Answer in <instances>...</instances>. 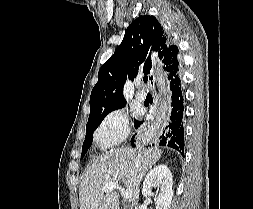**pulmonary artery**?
I'll return each mask as SVG.
<instances>
[{
	"instance_id": "e3ab8cb5",
	"label": "pulmonary artery",
	"mask_w": 253,
	"mask_h": 209,
	"mask_svg": "<svg viewBox=\"0 0 253 209\" xmlns=\"http://www.w3.org/2000/svg\"><path fill=\"white\" fill-rule=\"evenodd\" d=\"M136 99L138 101L143 102L146 99V94L143 91L139 90V91L136 92Z\"/></svg>"
}]
</instances>
